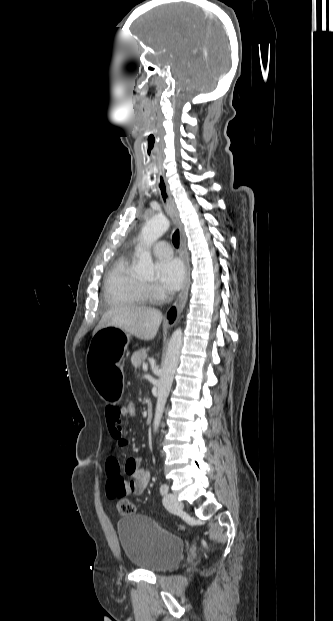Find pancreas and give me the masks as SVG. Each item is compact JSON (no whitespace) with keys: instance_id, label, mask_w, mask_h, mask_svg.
<instances>
[{"instance_id":"1","label":"pancreas","mask_w":333,"mask_h":621,"mask_svg":"<svg viewBox=\"0 0 333 621\" xmlns=\"http://www.w3.org/2000/svg\"><path fill=\"white\" fill-rule=\"evenodd\" d=\"M147 358V350L142 348L135 351L131 356V362L135 368H140Z\"/></svg>"}]
</instances>
